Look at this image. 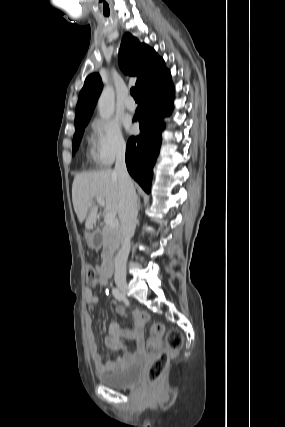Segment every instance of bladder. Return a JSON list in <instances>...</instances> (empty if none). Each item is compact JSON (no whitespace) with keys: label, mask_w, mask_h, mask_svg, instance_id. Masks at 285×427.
I'll return each mask as SVG.
<instances>
[{"label":"bladder","mask_w":285,"mask_h":427,"mask_svg":"<svg viewBox=\"0 0 285 427\" xmlns=\"http://www.w3.org/2000/svg\"><path fill=\"white\" fill-rule=\"evenodd\" d=\"M142 363L134 362L117 372H103L98 375L99 380L113 389L130 388L136 385L141 378Z\"/></svg>","instance_id":"1"}]
</instances>
